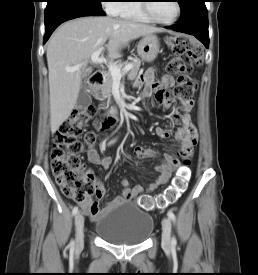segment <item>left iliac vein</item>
<instances>
[{
	"instance_id": "left-iliac-vein-1",
	"label": "left iliac vein",
	"mask_w": 258,
	"mask_h": 275,
	"mask_svg": "<svg viewBox=\"0 0 258 275\" xmlns=\"http://www.w3.org/2000/svg\"><path fill=\"white\" fill-rule=\"evenodd\" d=\"M171 221L168 217H164L162 221V248L165 251L171 249Z\"/></svg>"
}]
</instances>
